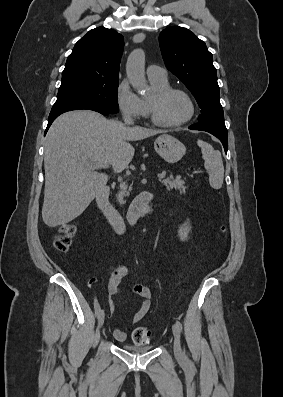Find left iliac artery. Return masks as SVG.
Instances as JSON below:
<instances>
[{"instance_id": "44dca946", "label": "left iliac artery", "mask_w": 283, "mask_h": 397, "mask_svg": "<svg viewBox=\"0 0 283 397\" xmlns=\"http://www.w3.org/2000/svg\"><path fill=\"white\" fill-rule=\"evenodd\" d=\"M175 325L177 326L178 330L181 332V331H182V324H181V322L177 321Z\"/></svg>"}]
</instances>
